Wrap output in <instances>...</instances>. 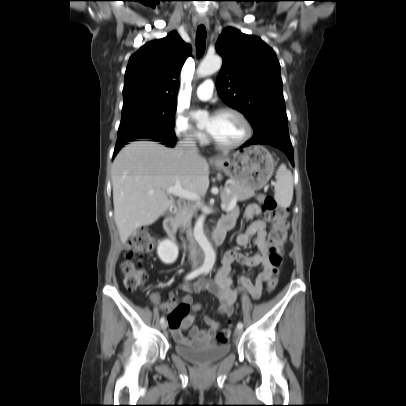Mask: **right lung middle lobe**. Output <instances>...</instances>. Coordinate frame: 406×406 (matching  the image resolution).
<instances>
[{"instance_id":"dd1d6c3e","label":"right lung middle lobe","mask_w":406,"mask_h":406,"mask_svg":"<svg viewBox=\"0 0 406 406\" xmlns=\"http://www.w3.org/2000/svg\"><path fill=\"white\" fill-rule=\"evenodd\" d=\"M176 105L138 104L123 107L116 144L136 139L175 137Z\"/></svg>"}]
</instances>
